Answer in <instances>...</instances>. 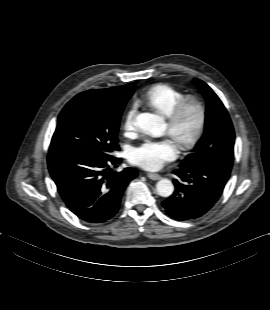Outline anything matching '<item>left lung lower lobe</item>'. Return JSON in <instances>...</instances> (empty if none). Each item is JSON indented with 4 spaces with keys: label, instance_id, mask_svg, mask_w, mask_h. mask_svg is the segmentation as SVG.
Returning a JSON list of instances; mask_svg holds the SVG:
<instances>
[{
    "label": "left lung lower lobe",
    "instance_id": "obj_1",
    "mask_svg": "<svg viewBox=\"0 0 270 310\" xmlns=\"http://www.w3.org/2000/svg\"><path fill=\"white\" fill-rule=\"evenodd\" d=\"M174 193L162 202L168 215L178 221L199 218L217 202L230 173L205 166H181L174 172Z\"/></svg>",
    "mask_w": 270,
    "mask_h": 310
}]
</instances>
